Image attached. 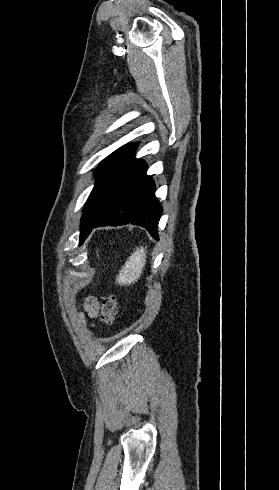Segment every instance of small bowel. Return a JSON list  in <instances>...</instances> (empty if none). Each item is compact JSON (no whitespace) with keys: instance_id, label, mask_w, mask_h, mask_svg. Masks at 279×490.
Here are the masks:
<instances>
[{"instance_id":"c3829d8e","label":"small bowel","mask_w":279,"mask_h":490,"mask_svg":"<svg viewBox=\"0 0 279 490\" xmlns=\"http://www.w3.org/2000/svg\"><path fill=\"white\" fill-rule=\"evenodd\" d=\"M84 312L80 314V320L84 324H88L90 327H93L94 324L92 322H88V320H93L97 317L99 312V303L94 297H87L84 300Z\"/></svg>"}]
</instances>
